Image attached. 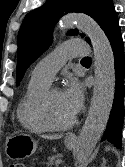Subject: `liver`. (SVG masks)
<instances>
[{"label": "liver", "mask_w": 125, "mask_h": 167, "mask_svg": "<svg viewBox=\"0 0 125 167\" xmlns=\"http://www.w3.org/2000/svg\"><path fill=\"white\" fill-rule=\"evenodd\" d=\"M43 138L56 140V139H60L61 136L60 135H44Z\"/></svg>", "instance_id": "liver-1"}]
</instances>
